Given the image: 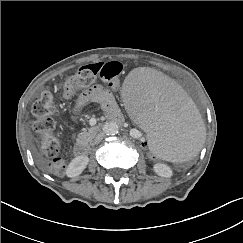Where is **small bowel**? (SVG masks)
I'll use <instances>...</instances> for the list:
<instances>
[{
    "instance_id": "obj_1",
    "label": "small bowel",
    "mask_w": 243,
    "mask_h": 243,
    "mask_svg": "<svg viewBox=\"0 0 243 243\" xmlns=\"http://www.w3.org/2000/svg\"><path fill=\"white\" fill-rule=\"evenodd\" d=\"M90 103H99L106 111L114 112L117 109L112 92L101 85H94L85 90L76 100V109H81Z\"/></svg>"
}]
</instances>
